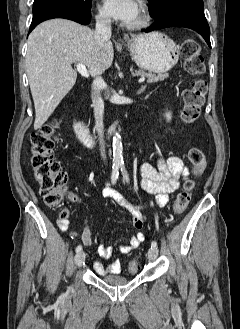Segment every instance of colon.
Segmentation results:
<instances>
[{
  "mask_svg": "<svg viewBox=\"0 0 240 329\" xmlns=\"http://www.w3.org/2000/svg\"><path fill=\"white\" fill-rule=\"evenodd\" d=\"M181 55L185 62L186 71L195 76L190 85L183 91L182 119L185 123L196 122L204 104L207 85L199 76L204 71L203 57L199 43L193 39H186L181 44ZM58 120L50 119L42 128L31 137L30 165L34 179L40 186V193L45 204L52 209L61 210L62 218H67L69 212L64 208L65 193L68 188V176L59 162L53 158V151L57 143L56 130ZM193 174L198 176L206 167L205 153L199 148H192L188 153ZM194 181L185 182L183 189L178 193L173 204L175 213H183L189 206ZM139 265L132 260L128 264V272L134 274Z\"/></svg>",
  "mask_w": 240,
  "mask_h": 329,
  "instance_id": "obj_1",
  "label": "colon"
}]
</instances>
